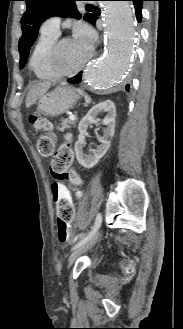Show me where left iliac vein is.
Masks as SVG:
<instances>
[{"label": "left iliac vein", "mask_w": 183, "mask_h": 329, "mask_svg": "<svg viewBox=\"0 0 183 329\" xmlns=\"http://www.w3.org/2000/svg\"><path fill=\"white\" fill-rule=\"evenodd\" d=\"M100 235V230L99 228L97 231L94 233V235L84 244L79 246L76 250L72 252V254L69 257L68 260V268L71 267V265L74 263V261L84 252H86L88 249H90L92 246H94L98 240V237Z\"/></svg>", "instance_id": "1"}]
</instances>
